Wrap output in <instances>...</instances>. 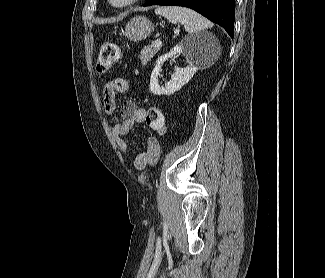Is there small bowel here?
Here are the masks:
<instances>
[{"label": "small bowel", "instance_id": "1", "mask_svg": "<svg viewBox=\"0 0 325 278\" xmlns=\"http://www.w3.org/2000/svg\"><path fill=\"white\" fill-rule=\"evenodd\" d=\"M128 90V82L123 77H116L105 82L103 87V107L107 115H112L116 109V96ZM146 116L145 108L139 107L134 101L126 100L120 109V121L113 126V134L120 139V148L125 151L128 143L123 137L129 134L135 123H144ZM163 130V129H162ZM159 130V131H162ZM162 156V150L158 141L150 137L147 139V149L139 153L134 161L138 169L156 165Z\"/></svg>", "mask_w": 325, "mask_h": 278}]
</instances>
